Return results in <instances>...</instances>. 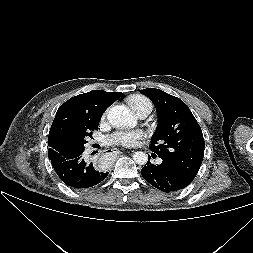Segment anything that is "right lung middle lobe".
I'll return each mask as SVG.
<instances>
[{"instance_id": "right-lung-middle-lobe-1", "label": "right lung middle lobe", "mask_w": 253, "mask_h": 253, "mask_svg": "<svg viewBox=\"0 0 253 253\" xmlns=\"http://www.w3.org/2000/svg\"><path fill=\"white\" fill-rule=\"evenodd\" d=\"M88 136L91 137V134H89ZM86 137L87 136L80 137L77 141L74 142V144L69 148V150L70 149H74V150L85 149L84 144L87 143Z\"/></svg>"}]
</instances>
